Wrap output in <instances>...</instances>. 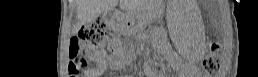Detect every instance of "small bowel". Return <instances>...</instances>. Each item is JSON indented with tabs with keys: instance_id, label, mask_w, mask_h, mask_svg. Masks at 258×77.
Segmentation results:
<instances>
[{
	"instance_id": "c3829d8e",
	"label": "small bowel",
	"mask_w": 258,
	"mask_h": 77,
	"mask_svg": "<svg viewBox=\"0 0 258 77\" xmlns=\"http://www.w3.org/2000/svg\"><path fill=\"white\" fill-rule=\"evenodd\" d=\"M111 52L108 54H96L94 57L97 60L96 66L90 71V74H97L105 69V67L109 64V57Z\"/></svg>"
}]
</instances>
